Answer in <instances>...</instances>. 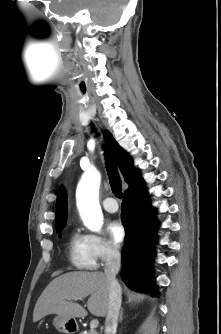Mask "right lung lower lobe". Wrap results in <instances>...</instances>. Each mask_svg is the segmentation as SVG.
Returning a JSON list of instances; mask_svg holds the SVG:
<instances>
[{
    "instance_id": "obj_1",
    "label": "right lung lower lobe",
    "mask_w": 221,
    "mask_h": 334,
    "mask_svg": "<svg viewBox=\"0 0 221 334\" xmlns=\"http://www.w3.org/2000/svg\"><path fill=\"white\" fill-rule=\"evenodd\" d=\"M121 221L126 230L122 249L121 276L125 284L138 292L157 295V286L152 280L154 244L159 223L149 205L143 181L124 192Z\"/></svg>"
}]
</instances>
